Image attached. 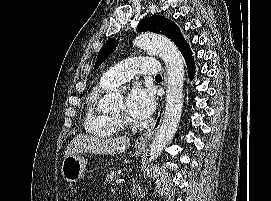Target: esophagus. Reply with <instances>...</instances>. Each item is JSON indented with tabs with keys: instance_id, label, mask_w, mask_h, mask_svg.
Masks as SVG:
<instances>
[{
	"instance_id": "1",
	"label": "esophagus",
	"mask_w": 271,
	"mask_h": 201,
	"mask_svg": "<svg viewBox=\"0 0 271 201\" xmlns=\"http://www.w3.org/2000/svg\"><path fill=\"white\" fill-rule=\"evenodd\" d=\"M163 115H164V103L162 102L158 109V115L154 123L152 124L151 128L148 129L142 136H140L136 140V145L147 146L150 143V141L154 138L155 134L158 132L161 126Z\"/></svg>"
}]
</instances>
